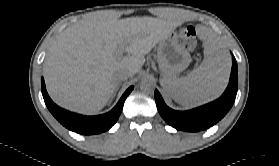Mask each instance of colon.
<instances>
[{
  "label": "colon",
  "instance_id": "1",
  "mask_svg": "<svg viewBox=\"0 0 279 166\" xmlns=\"http://www.w3.org/2000/svg\"><path fill=\"white\" fill-rule=\"evenodd\" d=\"M178 38L184 49L193 52L196 58L200 57L199 39L194 26H184L180 28L178 31Z\"/></svg>",
  "mask_w": 279,
  "mask_h": 166
}]
</instances>
